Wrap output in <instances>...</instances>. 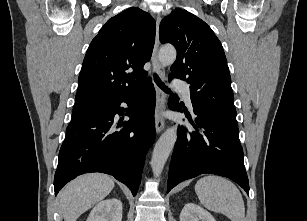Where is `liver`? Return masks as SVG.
I'll list each match as a JSON object with an SVG mask.
<instances>
[{
	"label": "liver",
	"mask_w": 307,
	"mask_h": 221,
	"mask_svg": "<svg viewBox=\"0 0 307 221\" xmlns=\"http://www.w3.org/2000/svg\"><path fill=\"white\" fill-rule=\"evenodd\" d=\"M114 188V179L106 174L92 173L77 177L59 195L64 221H76L81 214L102 201Z\"/></svg>",
	"instance_id": "liver-1"
}]
</instances>
